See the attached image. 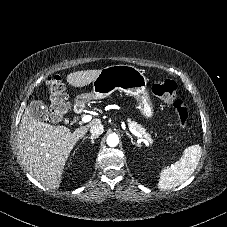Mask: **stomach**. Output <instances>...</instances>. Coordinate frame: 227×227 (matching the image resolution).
Listing matches in <instances>:
<instances>
[{"mask_svg": "<svg viewBox=\"0 0 227 227\" xmlns=\"http://www.w3.org/2000/svg\"><path fill=\"white\" fill-rule=\"evenodd\" d=\"M147 82L148 79L143 71L132 65L107 66L101 69L94 79L92 92L78 95L76 103L84 104L91 99H102L119 90L134 96L141 114L151 119L154 109L146 90Z\"/></svg>", "mask_w": 227, "mask_h": 227, "instance_id": "stomach-1", "label": "stomach"}]
</instances>
